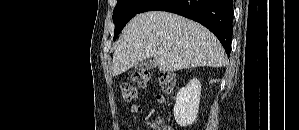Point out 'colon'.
Wrapping results in <instances>:
<instances>
[{"instance_id": "obj_1", "label": "colon", "mask_w": 299, "mask_h": 130, "mask_svg": "<svg viewBox=\"0 0 299 130\" xmlns=\"http://www.w3.org/2000/svg\"><path fill=\"white\" fill-rule=\"evenodd\" d=\"M151 75L149 72L140 71L136 72L131 82H125L121 85L122 98L129 102L135 99L141 89H144L150 82ZM177 76L173 72H161L158 75V85L162 90L163 94H170L174 91L176 86ZM161 94L157 98L159 101L164 100V95ZM150 130H172L162 121H154L148 125Z\"/></svg>"}]
</instances>
